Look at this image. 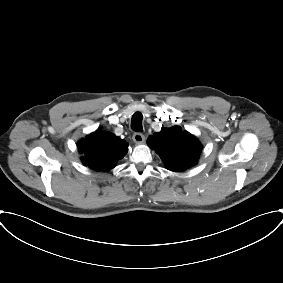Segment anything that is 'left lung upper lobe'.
<instances>
[{
  "label": "left lung upper lobe",
  "instance_id": "obj_1",
  "mask_svg": "<svg viewBox=\"0 0 283 283\" xmlns=\"http://www.w3.org/2000/svg\"><path fill=\"white\" fill-rule=\"evenodd\" d=\"M148 145L156 151L167 169L182 171L195 164L202 149L198 140L181 127L162 128L147 140Z\"/></svg>",
  "mask_w": 283,
  "mask_h": 283
}]
</instances>
